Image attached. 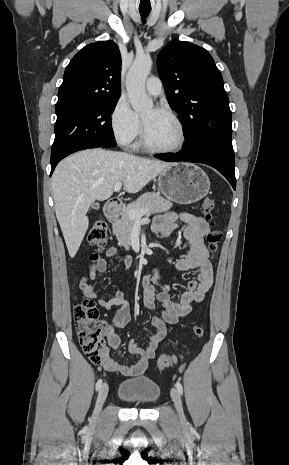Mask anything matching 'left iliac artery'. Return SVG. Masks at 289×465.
<instances>
[{
	"mask_svg": "<svg viewBox=\"0 0 289 465\" xmlns=\"http://www.w3.org/2000/svg\"><path fill=\"white\" fill-rule=\"evenodd\" d=\"M175 386H176L178 392L180 394H183V387H182V384L179 381L176 382Z\"/></svg>",
	"mask_w": 289,
	"mask_h": 465,
	"instance_id": "44dca946",
	"label": "left iliac artery"
}]
</instances>
